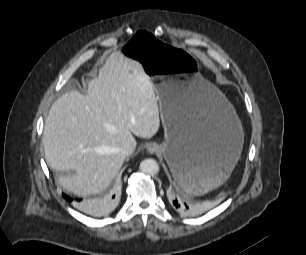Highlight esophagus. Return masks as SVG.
Instances as JSON below:
<instances>
[{
	"mask_svg": "<svg viewBox=\"0 0 306 255\" xmlns=\"http://www.w3.org/2000/svg\"><path fill=\"white\" fill-rule=\"evenodd\" d=\"M147 151L148 153L150 154H155L159 151V147L157 144L155 143H150L148 146H147Z\"/></svg>",
	"mask_w": 306,
	"mask_h": 255,
	"instance_id": "34e87169",
	"label": "esophagus"
}]
</instances>
